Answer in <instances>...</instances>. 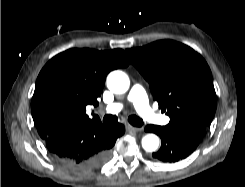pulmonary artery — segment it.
<instances>
[{"mask_svg":"<svg viewBox=\"0 0 245 187\" xmlns=\"http://www.w3.org/2000/svg\"><path fill=\"white\" fill-rule=\"evenodd\" d=\"M127 99L133 104L136 111L144 119L155 124H167L170 121L168 116L161 115L151 108L146 92L141 85H133L129 91ZM122 108L123 105L121 103H113L105 107V112L116 114L120 112Z\"/></svg>","mask_w":245,"mask_h":187,"instance_id":"obj_1","label":"pulmonary artery"}]
</instances>
